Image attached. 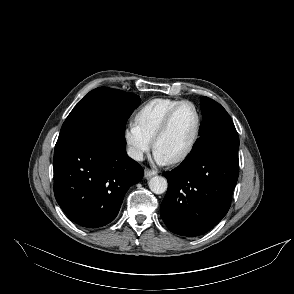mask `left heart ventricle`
I'll return each mask as SVG.
<instances>
[{"instance_id":"left-heart-ventricle-1","label":"left heart ventricle","mask_w":294,"mask_h":294,"mask_svg":"<svg viewBox=\"0 0 294 294\" xmlns=\"http://www.w3.org/2000/svg\"><path fill=\"white\" fill-rule=\"evenodd\" d=\"M196 122L193 108L190 105L182 106L175 114L167 132L158 141L156 149L169 160L178 156L189 144Z\"/></svg>"}]
</instances>
